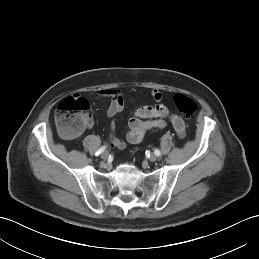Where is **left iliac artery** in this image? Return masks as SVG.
<instances>
[{
  "instance_id": "obj_1",
  "label": "left iliac artery",
  "mask_w": 259,
  "mask_h": 259,
  "mask_svg": "<svg viewBox=\"0 0 259 259\" xmlns=\"http://www.w3.org/2000/svg\"><path fill=\"white\" fill-rule=\"evenodd\" d=\"M154 153H155L156 156H160L161 155V152L158 149H155Z\"/></svg>"
}]
</instances>
